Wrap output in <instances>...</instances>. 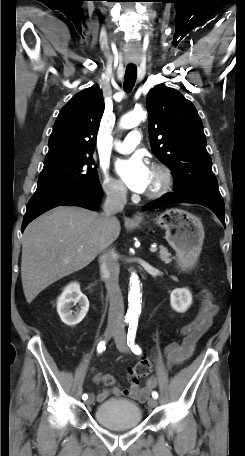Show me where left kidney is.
Instances as JSON below:
<instances>
[{
    "label": "left kidney",
    "mask_w": 245,
    "mask_h": 456,
    "mask_svg": "<svg viewBox=\"0 0 245 456\" xmlns=\"http://www.w3.org/2000/svg\"><path fill=\"white\" fill-rule=\"evenodd\" d=\"M172 308L179 313H184L192 304V294L186 288L174 289L170 295Z\"/></svg>",
    "instance_id": "left-kidney-1"
}]
</instances>
